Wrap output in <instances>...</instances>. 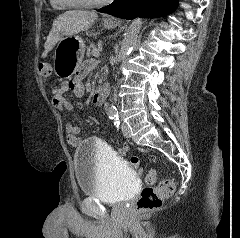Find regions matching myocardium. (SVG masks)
I'll return each instance as SVG.
<instances>
[{
	"label": "myocardium",
	"instance_id": "f54148a6",
	"mask_svg": "<svg viewBox=\"0 0 240 238\" xmlns=\"http://www.w3.org/2000/svg\"><path fill=\"white\" fill-rule=\"evenodd\" d=\"M113 0H99L96 2L85 3V2H77V1H68L67 4L72 7L79 8H96L109 4Z\"/></svg>",
	"mask_w": 240,
	"mask_h": 238
}]
</instances>
